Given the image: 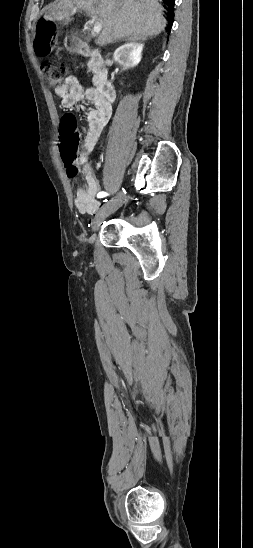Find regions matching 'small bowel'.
I'll return each mask as SVG.
<instances>
[{"label":"small bowel","instance_id":"c3829d8e","mask_svg":"<svg viewBox=\"0 0 253 548\" xmlns=\"http://www.w3.org/2000/svg\"><path fill=\"white\" fill-rule=\"evenodd\" d=\"M55 94L60 98L64 108H71L83 100L93 105L90 109H84L88 129L77 160L84 177V185L74 193V203L77 210L81 213L91 214L96 212L100 205V202L96 200L100 188L95 171L89 163V158L111 117L112 105L111 102L100 96L97 90L92 88L83 89L79 81L72 76L67 79L64 85L55 89Z\"/></svg>","mask_w":253,"mask_h":548}]
</instances>
